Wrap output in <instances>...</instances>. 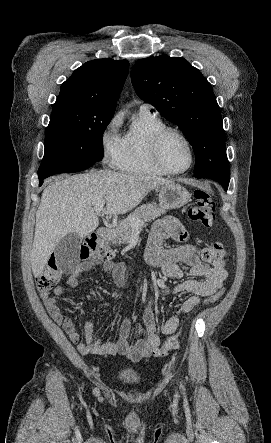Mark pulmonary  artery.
I'll list each match as a JSON object with an SVG mask.
<instances>
[{
    "label": "pulmonary artery",
    "instance_id": "1",
    "mask_svg": "<svg viewBox=\"0 0 271 443\" xmlns=\"http://www.w3.org/2000/svg\"><path fill=\"white\" fill-rule=\"evenodd\" d=\"M154 110V107L148 103H143L141 104L139 111L140 112H149L152 113ZM154 113L156 114V112L154 111Z\"/></svg>",
    "mask_w": 271,
    "mask_h": 443
}]
</instances>
